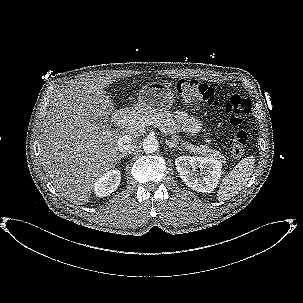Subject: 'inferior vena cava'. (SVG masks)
Here are the masks:
<instances>
[{"label":"inferior vena cava","instance_id":"1","mask_svg":"<svg viewBox=\"0 0 303 303\" xmlns=\"http://www.w3.org/2000/svg\"><path fill=\"white\" fill-rule=\"evenodd\" d=\"M134 142H135V140L131 135L127 134V135L121 136L117 142L119 151L122 154L131 153L135 148Z\"/></svg>","mask_w":303,"mask_h":303}]
</instances>
